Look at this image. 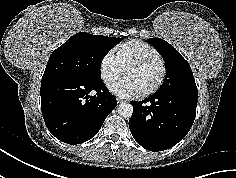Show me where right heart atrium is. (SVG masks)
Returning a JSON list of instances; mask_svg holds the SVG:
<instances>
[{
	"label": "right heart atrium",
	"instance_id": "d8ad5b80",
	"mask_svg": "<svg viewBox=\"0 0 236 178\" xmlns=\"http://www.w3.org/2000/svg\"><path fill=\"white\" fill-rule=\"evenodd\" d=\"M123 68L113 52H106L99 62V74L106 86H111L122 74Z\"/></svg>",
	"mask_w": 236,
	"mask_h": 178
}]
</instances>
